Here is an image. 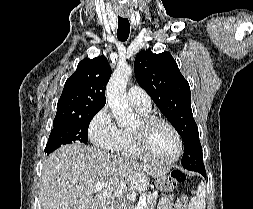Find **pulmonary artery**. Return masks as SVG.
<instances>
[{
	"label": "pulmonary artery",
	"instance_id": "1",
	"mask_svg": "<svg viewBox=\"0 0 253 209\" xmlns=\"http://www.w3.org/2000/svg\"><path fill=\"white\" fill-rule=\"evenodd\" d=\"M127 95L132 104L145 108L151 107V99L142 88L138 86H131Z\"/></svg>",
	"mask_w": 253,
	"mask_h": 209
}]
</instances>
